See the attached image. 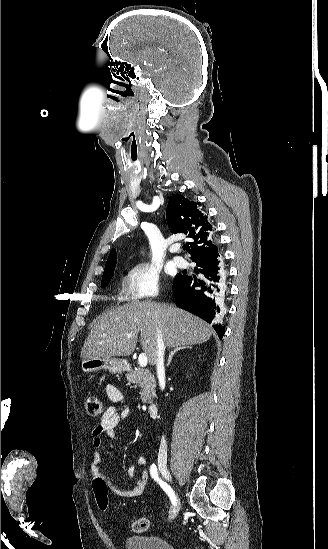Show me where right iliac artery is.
I'll return each instance as SVG.
<instances>
[{
	"label": "right iliac artery",
	"instance_id": "obj_1",
	"mask_svg": "<svg viewBox=\"0 0 328 549\" xmlns=\"http://www.w3.org/2000/svg\"><path fill=\"white\" fill-rule=\"evenodd\" d=\"M150 473H151V476L152 478L161 486V488L168 494L172 504L175 506L176 505V497H175V494L172 490V488L166 483L164 482L163 480H161L159 477H158V473H157V468L155 466V464H153L150 468Z\"/></svg>",
	"mask_w": 328,
	"mask_h": 549
}]
</instances>
